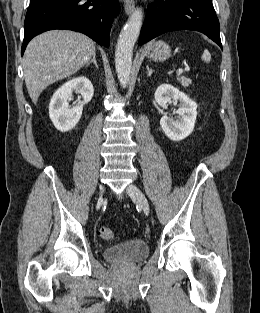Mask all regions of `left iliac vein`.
<instances>
[{
	"mask_svg": "<svg viewBox=\"0 0 260 313\" xmlns=\"http://www.w3.org/2000/svg\"><path fill=\"white\" fill-rule=\"evenodd\" d=\"M126 191L130 198L136 203H138V205L142 208L143 212L146 215H148L150 211L149 203L145 195L142 193V191L134 184L128 185Z\"/></svg>",
	"mask_w": 260,
	"mask_h": 313,
	"instance_id": "left-iliac-vein-1",
	"label": "left iliac vein"
}]
</instances>
